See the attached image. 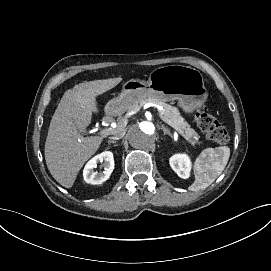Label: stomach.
<instances>
[{"instance_id": "stomach-1", "label": "stomach", "mask_w": 271, "mask_h": 271, "mask_svg": "<svg viewBox=\"0 0 271 271\" xmlns=\"http://www.w3.org/2000/svg\"><path fill=\"white\" fill-rule=\"evenodd\" d=\"M148 97L162 101L178 100L185 112L192 113L204 104L208 92L198 70L189 66L168 65L153 70L148 81L128 80L120 95L107 103L105 111L121 114L135 108Z\"/></svg>"}]
</instances>
